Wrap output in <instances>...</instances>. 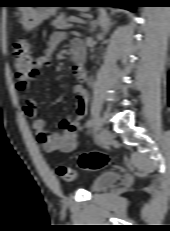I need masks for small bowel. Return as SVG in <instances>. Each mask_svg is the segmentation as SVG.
Instances as JSON below:
<instances>
[{"instance_id": "c3829d8e", "label": "small bowel", "mask_w": 170, "mask_h": 231, "mask_svg": "<svg viewBox=\"0 0 170 231\" xmlns=\"http://www.w3.org/2000/svg\"><path fill=\"white\" fill-rule=\"evenodd\" d=\"M63 35L55 33L51 36L45 52L36 58L37 74L42 69L50 65L51 56L57 45L62 41ZM73 50H81L78 43L73 44ZM74 75L79 82L74 88L77 94V117H65L60 123L58 131H51L46 129V123L43 119L37 117V101L30 95L31 84L30 81L18 82L17 90L24 95L23 111L32 119V129L41 144L44 151L48 153L61 152L70 153L74 151L79 144V134L81 130L80 119L87 111V93L82 86L85 80V73L83 68L78 66L73 67Z\"/></svg>"}]
</instances>
